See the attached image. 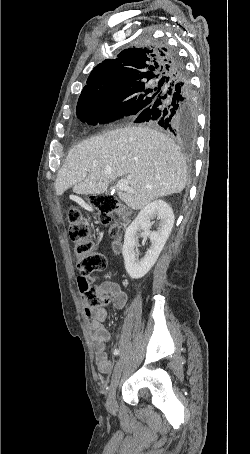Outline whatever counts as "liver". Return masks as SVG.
Here are the masks:
<instances>
[{
	"mask_svg": "<svg viewBox=\"0 0 250 454\" xmlns=\"http://www.w3.org/2000/svg\"><path fill=\"white\" fill-rule=\"evenodd\" d=\"M119 177H129L133 190L118 192L120 200L140 210L155 199L182 192L187 166L179 147L165 134L126 127L74 146L57 175L55 189L57 195L71 187L75 194H101Z\"/></svg>",
	"mask_w": 250,
	"mask_h": 454,
	"instance_id": "6515ba94",
	"label": "liver"
}]
</instances>
